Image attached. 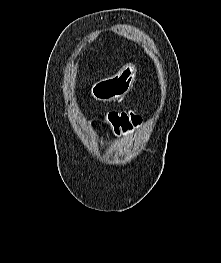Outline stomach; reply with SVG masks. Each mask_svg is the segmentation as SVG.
<instances>
[{"mask_svg": "<svg viewBox=\"0 0 221 263\" xmlns=\"http://www.w3.org/2000/svg\"><path fill=\"white\" fill-rule=\"evenodd\" d=\"M137 68L135 64L124 65L115 75L95 82L91 95L98 101H112L123 98L133 87Z\"/></svg>", "mask_w": 221, "mask_h": 263, "instance_id": "0dacf381", "label": "stomach"}]
</instances>
